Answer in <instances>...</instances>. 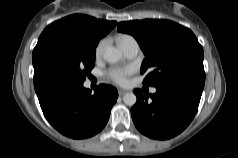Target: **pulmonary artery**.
I'll use <instances>...</instances> for the list:
<instances>
[{
	"label": "pulmonary artery",
	"instance_id": "1",
	"mask_svg": "<svg viewBox=\"0 0 238 158\" xmlns=\"http://www.w3.org/2000/svg\"><path fill=\"white\" fill-rule=\"evenodd\" d=\"M121 48L125 56L130 59L136 57L139 52V44L134 38H131L127 40L125 43H123L121 45ZM155 92H156V89L152 88L151 93H155Z\"/></svg>",
	"mask_w": 238,
	"mask_h": 158
}]
</instances>
